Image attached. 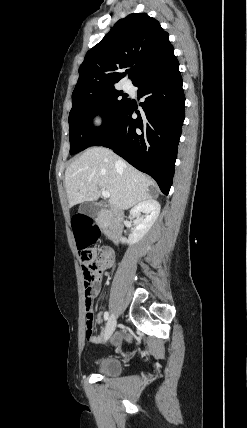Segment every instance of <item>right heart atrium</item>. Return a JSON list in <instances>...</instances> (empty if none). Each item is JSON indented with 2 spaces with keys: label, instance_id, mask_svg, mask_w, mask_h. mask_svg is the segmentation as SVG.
Returning <instances> with one entry per match:
<instances>
[{
  "label": "right heart atrium",
  "instance_id": "obj_1",
  "mask_svg": "<svg viewBox=\"0 0 247 428\" xmlns=\"http://www.w3.org/2000/svg\"><path fill=\"white\" fill-rule=\"evenodd\" d=\"M92 119L97 126H101L105 121L104 111L100 108L95 109L92 112Z\"/></svg>",
  "mask_w": 247,
  "mask_h": 428
}]
</instances>
